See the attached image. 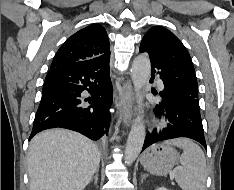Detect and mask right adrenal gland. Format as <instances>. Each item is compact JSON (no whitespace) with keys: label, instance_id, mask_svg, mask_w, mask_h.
<instances>
[{"label":"right adrenal gland","instance_id":"1","mask_svg":"<svg viewBox=\"0 0 234 190\" xmlns=\"http://www.w3.org/2000/svg\"><path fill=\"white\" fill-rule=\"evenodd\" d=\"M98 170L95 172V176L90 180V183L94 180V184L97 185L98 182Z\"/></svg>","mask_w":234,"mask_h":190}]
</instances>
